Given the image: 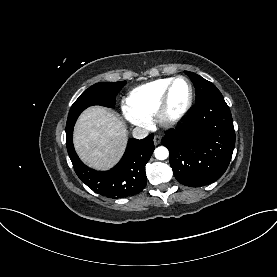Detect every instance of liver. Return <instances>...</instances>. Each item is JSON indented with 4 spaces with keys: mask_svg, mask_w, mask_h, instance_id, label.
I'll list each match as a JSON object with an SVG mask.
<instances>
[{
    "mask_svg": "<svg viewBox=\"0 0 277 277\" xmlns=\"http://www.w3.org/2000/svg\"><path fill=\"white\" fill-rule=\"evenodd\" d=\"M73 140L85 164L96 170H108L119 161L125 150L127 130L115 114L93 106L80 115Z\"/></svg>",
    "mask_w": 277,
    "mask_h": 277,
    "instance_id": "1",
    "label": "liver"
}]
</instances>
